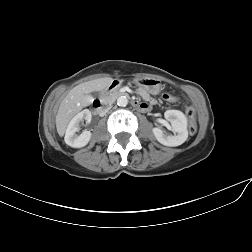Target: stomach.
Wrapping results in <instances>:
<instances>
[{
	"instance_id": "stomach-1",
	"label": "stomach",
	"mask_w": 252,
	"mask_h": 252,
	"mask_svg": "<svg viewBox=\"0 0 252 252\" xmlns=\"http://www.w3.org/2000/svg\"><path fill=\"white\" fill-rule=\"evenodd\" d=\"M136 83L140 88L152 95H157L162 88L160 80L152 77L139 78L136 80Z\"/></svg>"
}]
</instances>
